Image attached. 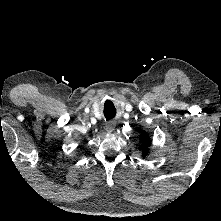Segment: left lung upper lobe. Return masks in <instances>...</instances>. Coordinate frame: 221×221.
<instances>
[{
    "label": "left lung upper lobe",
    "instance_id": "1",
    "mask_svg": "<svg viewBox=\"0 0 221 221\" xmlns=\"http://www.w3.org/2000/svg\"><path fill=\"white\" fill-rule=\"evenodd\" d=\"M141 142H142V148L143 149H146L145 151H144V156H146V154L148 153V151H147V148L149 147V145H150V139H149V137H148V135L145 133V132H142V135H141Z\"/></svg>",
    "mask_w": 221,
    "mask_h": 221
}]
</instances>
